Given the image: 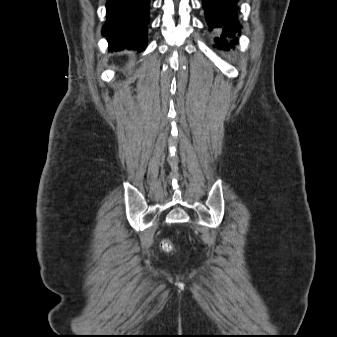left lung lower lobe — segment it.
Listing matches in <instances>:
<instances>
[{
	"label": "left lung lower lobe",
	"instance_id": "0a47b994",
	"mask_svg": "<svg viewBox=\"0 0 337 337\" xmlns=\"http://www.w3.org/2000/svg\"><path fill=\"white\" fill-rule=\"evenodd\" d=\"M239 0H203L206 19L211 30H214V38L218 48L229 49L237 43V35L241 33V25L238 21ZM230 40V43L227 42Z\"/></svg>",
	"mask_w": 337,
	"mask_h": 337
}]
</instances>
